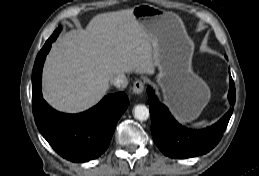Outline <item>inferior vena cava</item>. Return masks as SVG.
Segmentation results:
<instances>
[{"label":"inferior vena cava","instance_id":"602c4592","mask_svg":"<svg viewBox=\"0 0 259 176\" xmlns=\"http://www.w3.org/2000/svg\"><path fill=\"white\" fill-rule=\"evenodd\" d=\"M111 84L117 88H126L128 85V79L125 74H118L111 79Z\"/></svg>","mask_w":259,"mask_h":176}]
</instances>
